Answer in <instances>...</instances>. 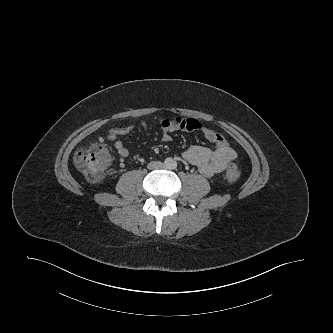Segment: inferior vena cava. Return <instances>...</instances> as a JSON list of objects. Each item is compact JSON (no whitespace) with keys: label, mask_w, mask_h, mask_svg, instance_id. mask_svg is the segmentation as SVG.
Returning <instances> with one entry per match:
<instances>
[{"label":"inferior vena cava","mask_w":333,"mask_h":333,"mask_svg":"<svg viewBox=\"0 0 333 333\" xmlns=\"http://www.w3.org/2000/svg\"><path fill=\"white\" fill-rule=\"evenodd\" d=\"M163 166H164L163 163L160 161H152L148 163L147 168L149 170H157L163 168Z\"/></svg>","instance_id":"obj_1"}]
</instances>
